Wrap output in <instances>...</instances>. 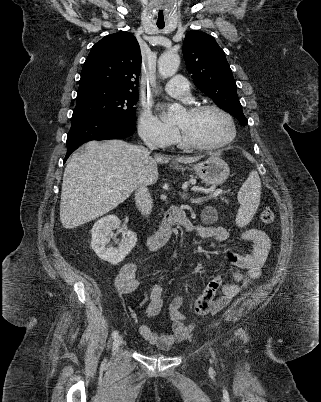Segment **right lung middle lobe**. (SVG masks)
I'll use <instances>...</instances> for the list:
<instances>
[{"label":"right lung middle lobe","mask_w":321,"mask_h":402,"mask_svg":"<svg viewBox=\"0 0 321 402\" xmlns=\"http://www.w3.org/2000/svg\"><path fill=\"white\" fill-rule=\"evenodd\" d=\"M138 94L100 86L79 87L72 120L79 118L135 121Z\"/></svg>","instance_id":"obj_1"}]
</instances>
